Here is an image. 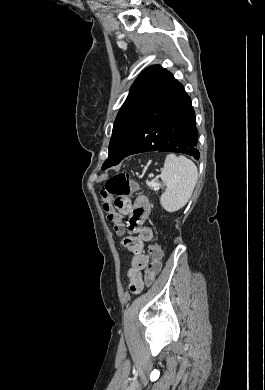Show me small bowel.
<instances>
[{
	"mask_svg": "<svg viewBox=\"0 0 265 390\" xmlns=\"http://www.w3.org/2000/svg\"><path fill=\"white\" fill-rule=\"evenodd\" d=\"M114 204L122 216H129L128 229L131 235L122 240V245L133 254L127 278L130 292L137 294L144 287L141 271L149 262L144 252V244L153 239L152 229L143 225L150 214V202L146 196H138L134 203L127 196H121L115 198Z\"/></svg>",
	"mask_w": 265,
	"mask_h": 390,
	"instance_id": "c3829d8e",
	"label": "small bowel"
}]
</instances>
